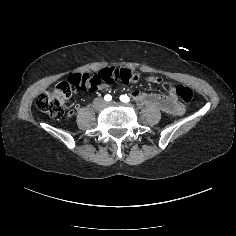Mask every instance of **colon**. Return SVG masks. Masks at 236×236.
I'll list each match as a JSON object with an SVG mask.
<instances>
[{"instance_id": "colon-1", "label": "colon", "mask_w": 236, "mask_h": 236, "mask_svg": "<svg viewBox=\"0 0 236 236\" xmlns=\"http://www.w3.org/2000/svg\"><path fill=\"white\" fill-rule=\"evenodd\" d=\"M140 77L137 72L116 67L104 68L95 74H71L59 82L52 90L41 93L37 98V107L52 118L60 119L65 115L67 101L75 92H95L103 86L116 82L134 83ZM175 93L184 102H189L193 98L192 89L184 85L177 86Z\"/></svg>"}]
</instances>
